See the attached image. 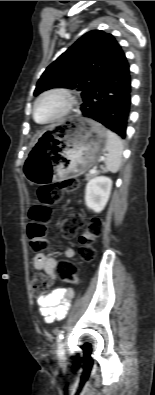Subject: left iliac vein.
<instances>
[{"label":"left iliac vein","mask_w":155,"mask_h":395,"mask_svg":"<svg viewBox=\"0 0 155 395\" xmlns=\"http://www.w3.org/2000/svg\"><path fill=\"white\" fill-rule=\"evenodd\" d=\"M57 355L60 361H63L65 359V349L63 342L59 344V347L57 349Z\"/></svg>","instance_id":"obj_1"}]
</instances>
